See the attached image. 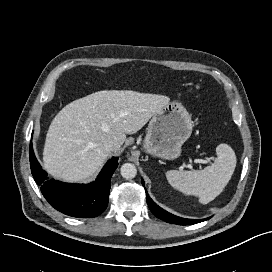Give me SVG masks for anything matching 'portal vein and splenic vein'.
Wrapping results in <instances>:
<instances>
[{"label":"portal vein and splenic vein","instance_id":"18ae733b","mask_svg":"<svg viewBox=\"0 0 272 272\" xmlns=\"http://www.w3.org/2000/svg\"><path fill=\"white\" fill-rule=\"evenodd\" d=\"M194 162H196V163H207V160L195 159Z\"/></svg>","mask_w":272,"mask_h":272}]
</instances>
